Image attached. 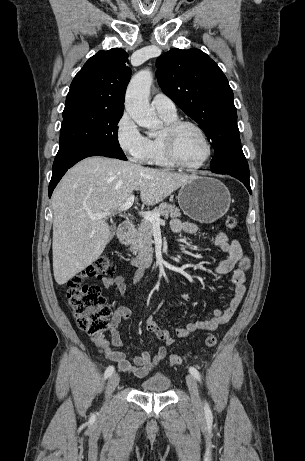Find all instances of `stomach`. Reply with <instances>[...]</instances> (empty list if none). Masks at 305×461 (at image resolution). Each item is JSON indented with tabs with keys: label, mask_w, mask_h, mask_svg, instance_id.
Segmentation results:
<instances>
[{
	"label": "stomach",
	"mask_w": 305,
	"mask_h": 461,
	"mask_svg": "<svg viewBox=\"0 0 305 461\" xmlns=\"http://www.w3.org/2000/svg\"><path fill=\"white\" fill-rule=\"evenodd\" d=\"M230 202L227 187L212 177L195 176L182 185L178 193V203L183 212L202 223H212L224 216Z\"/></svg>",
	"instance_id": "stomach-1"
}]
</instances>
